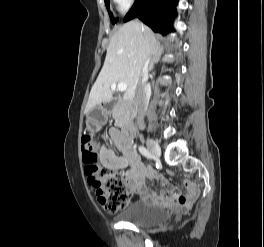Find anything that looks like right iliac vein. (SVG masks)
<instances>
[{
	"label": "right iliac vein",
	"mask_w": 264,
	"mask_h": 247,
	"mask_svg": "<svg viewBox=\"0 0 264 247\" xmlns=\"http://www.w3.org/2000/svg\"><path fill=\"white\" fill-rule=\"evenodd\" d=\"M146 144H147V147L149 148V150L152 152L153 155H155L157 157L160 156V153H161L160 147L155 140L148 137L146 139Z\"/></svg>",
	"instance_id": "obj_1"
}]
</instances>
